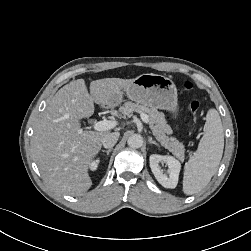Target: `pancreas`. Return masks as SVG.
I'll return each instance as SVG.
<instances>
[{
  "mask_svg": "<svg viewBox=\"0 0 251 251\" xmlns=\"http://www.w3.org/2000/svg\"><path fill=\"white\" fill-rule=\"evenodd\" d=\"M122 117L129 116L132 112L145 113L149 116V124L155 138L162 146L172 152L179 160H184L185 148L175 137H169L172 134L171 127L167 124L164 114L156 108L145 105L135 104L133 102H125L120 107Z\"/></svg>",
  "mask_w": 251,
  "mask_h": 251,
  "instance_id": "cf45deb5",
  "label": "pancreas"
}]
</instances>
